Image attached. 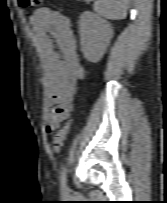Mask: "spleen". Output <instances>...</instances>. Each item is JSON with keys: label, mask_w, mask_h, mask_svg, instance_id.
<instances>
[{"label": "spleen", "mask_w": 167, "mask_h": 203, "mask_svg": "<svg viewBox=\"0 0 167 203\" xmlns=\"http://www.w3.org/2000/svg\"><path fill=\"white\" fill-rule=\"evenodd\" d=\"M129 0H97L94 10L99 15L112 20L124 19L127 15Z\"/></svg>", "instance_id": "3e777b00"}]
</instances>
